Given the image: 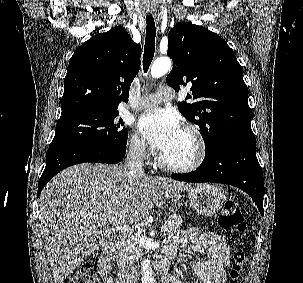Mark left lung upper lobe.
Instances as JSON below:
<instances>
[{"label":"left lung upper lobe","mask_w":303,"mask_h":283,"mask_svg":"<svg viewBox=\"0 0 303 283\" xmlns=\"http://www.w3.org/2000/svg\"><path fill=\"white\" fill-rule=\"evenodd\" d=\"M167 55L174 64L166 82L176 91L190 87L186 99L193 102L178 103V108L200 128L206 154L228 138L254 137L242 67L224 39L181 22L169 32Z\"/></svg>","instance_id":"left-lung-upper-lobe-1"}]
</instances>
